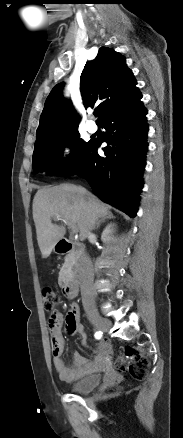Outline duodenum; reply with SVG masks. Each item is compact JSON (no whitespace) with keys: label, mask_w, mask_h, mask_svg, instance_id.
<instances>
[{"label":"duodenum","mask_w":183,"mask_h":438,"mask_svg":"<svg viewBox=\"0 0 183 438\" xmlns=\"http://www.w3.org/2000/svg\"><path fill=\"white\" fill-rule=\"evenodd\" d=\"M56 251L58 254L71 255L72 266L63 283V291L68 298L74 299L78 292V285L75 277L76 269L79 258L84 251V247L81 243L69 239H60L56 244Z\"/></svg>","instance_id":"1"}]
</instances>
